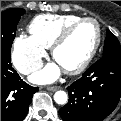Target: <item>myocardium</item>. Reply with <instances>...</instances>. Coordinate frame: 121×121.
Segmentation results:
<instances>
[{
	"mask_svg": "<svg viewBox=\"0 0 121 121\" xmlns=\"http://www.w3.org/2000/svg\"><path fill=\"white\" fill-rule=\"evenodd\" d=\"M84 22H92L95 25L96 31H97L96 41H95L93 47L91 48V50L89 51V53L86 55V57L83 59V61L79 65H77L73 68L64 70V72L68 75H77V74L83 72L89 66V64L91 63L93 58L95 57V55L101 45V42H102V28H101L100 23L98 22V20H96L95 18H92V17H81L80 19H78L75 22L68 25L58 35V37L55 39V41L51 45V54H52L53 59H55L58 48L60 46H62L67 41V39L70 37L72 32L79 25H81Z\"/></svg>",
	"mask_w": 121,
	"mask_h": 121,
	"instance_id": "myocardium-1",
	"label": "myocardium"
}]
</instances>
